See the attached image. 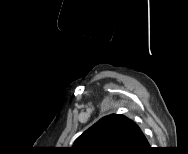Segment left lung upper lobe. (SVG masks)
<instances>
[{"mask_svg": "<svg viewBox=\"0 0 188 154\" xmlns=\"http://www.w3.org/2000/svg\"><path fill=\"white\" fill-rule=\"evenodd\" d=\"M135 128L131 119L111 114L83 132L72 149L82 154H125L130 152Z\"/></svg>", "mask_w": 188, "mask_h": 154, "instance_id": "left-lung-upper-lobe-1", "label": "left lung upper lobe"}]
</instances>
